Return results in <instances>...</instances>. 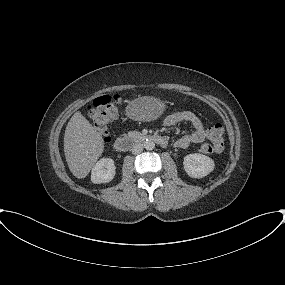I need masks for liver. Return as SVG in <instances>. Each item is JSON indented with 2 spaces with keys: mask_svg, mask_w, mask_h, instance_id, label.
I'll list each match as a JSON object with an SVG mask.
<instances>
[{
  "mask_svg": "<svg viewBox=\"0 0 285 285\" xmlns=\"http://www.w3.org/2000/svg\"><path fill=\"white\" fill-rule=\"evenodd\" d=\"M104 150L101 134L77 111L69 120L64 135V154L71 173L85 178Z\"/></svg>",
  "mask_w": 285,
  "mask_h": 285,
  "instance_id": "liver-1",
  "label": "liver"
}]
</instances>
